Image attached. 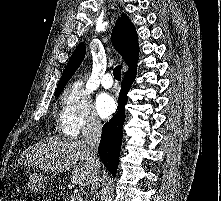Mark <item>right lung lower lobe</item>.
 Masks as SVG:
<instances>
[{
  "mask_svg": "<svg viewBox=\"0 0 221 201\" xmlns=\"http://www.w3.org/2000/svg\"><path fill=\"white\" fill-rule=\"evenodd\" d=\"M135 76L136 70L125 74L118 100V111L116 115L103 126L102 129L101 142L98 152L104 166L110 171V173H112L113 176H115L117 172L122 143V128L125 121L124 106L127 103V93L130 90Z\"/></svg>",
  "mask_w": 221,
  "mask_h": 201,
  "instance_id": "98d812e1",
  "label": "right lung lower lobe"
}]
</instances>
